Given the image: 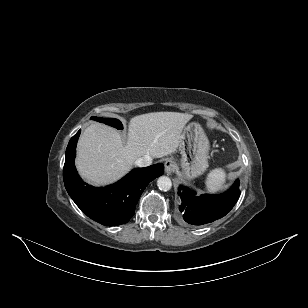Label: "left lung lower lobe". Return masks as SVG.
Instances as JSON below:
<instances>
[{"label": "left lung lower lobe", "mask_w": 308, "mask_h": 308, "mask_svg": "<svg viewBox=\"0 0 308 308\" xmlns=\"http://www.w3.org/2000/svg\"><path fill=\"white\" fill-rule=\"evenodd\" d=\"M178 194L182 200L179 210L183 219L192 225H203L222 218L233 208L240 196L239 180L226 193L219 195L194 196V191L182 186Z\"/></svg>", "instance_id": "1"}]
</instances>
